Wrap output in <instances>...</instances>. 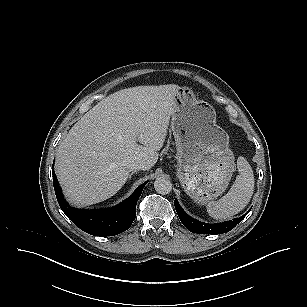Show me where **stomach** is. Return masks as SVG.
Returning <instances> with one entry per match:
<instances>
[{
    "label": "stomach",
    "mask_w": 307,
    "mask_h": 307,
    "mask_svg": "<svg viewBox=\"0 0 307 307\" xmlns=\"http://www.w3.org/2000/svg\"><path fill=\"white\" fill-rule=\"evenodd\" d=\"M174 100L177 177L194 201L205 204L221 195L231 180L235 163L229 136L216 124L214 108L196 99L191 89L180 88Z\"/></svg>",
    "instance_id": "stomach-1"
}]
</instances>
